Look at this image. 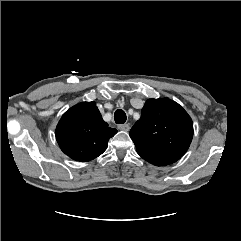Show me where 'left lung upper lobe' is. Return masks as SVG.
Wrapping results in <instances>:
<instances>
[{
    "instance_id": "5c2ea615",
    "label": "left lung upper lobe",
    "mask_w": 241,
    "mask_h": 241,
    "mask_svg": "<svg viewBox=\"0 0 241 241\" xmlns=\"http://www.w3.org/2000/svg\"><path fill=\"white\" fill-rule=\"evenodd\" d=\"M129 134L137 152L180 158L192 141L193 123L176 102L148 99Z\"/></svg>"
}]
</instances>
